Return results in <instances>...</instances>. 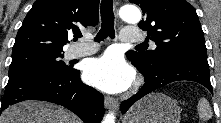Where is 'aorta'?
Masks as SVG:
<instances>
[{
    "instance_id": "aorta-1",
    "label": "aorta",
    "mask_w": 221,
    "mask_h": 123,
    "mask_svg": "<svg viewBox=\"0 0 221 123\" xmlns=\"http://www.w3.org/2000/svg\"><path fill=\"white\" fill-rule=\"evenodd\" d=\"M119 15L123 21L132 24L140 22L142 18L140 10L133 5L123 6L119 11ZM103 123H115L114 114L112 112L107 114L103 119Z\"/></svg>"
}]
</instances>
